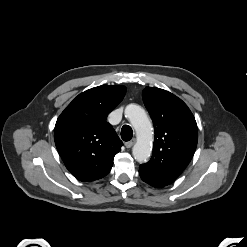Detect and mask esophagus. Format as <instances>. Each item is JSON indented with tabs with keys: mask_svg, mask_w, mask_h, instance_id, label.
<instances>
[{
	"mask_svg": "<svg viewBox=\"0 0 247 247\" xmlns=\"http://www.w3.org/2000/svg\"><path fill=\"white\" fill-rule=\"evenodd\" d=\"M135 144V139L125 143L126 148H131Z\"/></svg>",
	"mask_w": 247,
	"mask_h": 247,
	"instance_id": "esophagus-1",
	"label": "esophagus"
}]
</instances>
